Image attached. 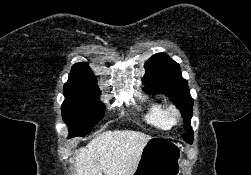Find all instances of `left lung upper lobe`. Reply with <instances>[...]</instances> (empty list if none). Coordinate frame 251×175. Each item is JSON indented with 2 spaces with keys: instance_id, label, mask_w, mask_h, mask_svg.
<instances>
[{
  "instance_id": "obj_1",
  "label": "left lung upper lobe",
  "mask_w": 251,
  "mask_h": 175,
  "mask_svg": "<svg viewBox=\"0 0 251 175\" xmlns=\"http://www.w3.org/2000/svg\"><path fill=\"white\" fill-rule=\"evenodd\" d=\"M146 73L143 77L144 91L168 96L180 109L184 119L185 133L183 139L192 143L193 132L190 127L193 99L190 96L187 81L182 77L180 66L168 55L157 53L145 64Z\"/></svg>"
}]
</instances>
